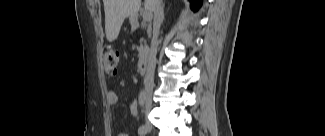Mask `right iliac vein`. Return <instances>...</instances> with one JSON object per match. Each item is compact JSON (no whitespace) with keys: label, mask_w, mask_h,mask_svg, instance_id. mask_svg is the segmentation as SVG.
<instances>
[{"label":"right iliac vein","mask_w":325,"mask_h":136,"mask_svg":"<svg viewBox=\"0 0 325 136\" xmlns=\"http://www.w3.org/2000/svg\"><path fill=\"white\" fill-rule=\"evenodd\" d=\"M146 128L148 130H151L152 129V125H151V123L149 121L146 122Z\"/></svg>","instance_id":"63e3f726"}]
</instances>
